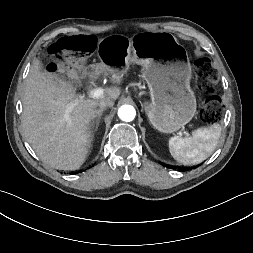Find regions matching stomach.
Returning a JSON list of instances; mask_svg holds the SVG:
<instances>
[{
  "instance_id": "obj_1",
  "label": "stomach",
  "mask_w": 253,
  "mask_h": 253,
  "mask_svg": "<svg viewBox=\"0 0 253 253\" xmlns=\"http://www.w3.org/2000/svg\"><path fill=\"white\" fill-rule=\"evenodd\" d=\"M100 68L126 73L131 64L142 66L151 102L146 114L155 129L173 133L186 125L196 113V98L190 88L191 65L186 52L170 33L140 34L133 38L110 35L97 44Z\"/></svg>"
}]
</instances>
